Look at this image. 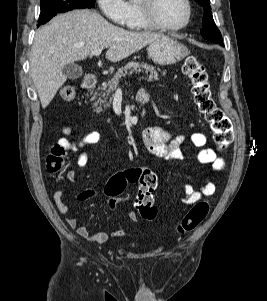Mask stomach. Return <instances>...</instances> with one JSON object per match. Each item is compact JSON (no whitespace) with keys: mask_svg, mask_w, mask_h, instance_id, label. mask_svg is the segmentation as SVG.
Returning a JSON list of instances; mask_svg holds the SVG:
<instances>
[{"mask_svg":"<svg viewBox=\"0 0 267 301\" xmlns=\"http://www.w3.org/2000/svg\"><path fill=\"white\" fill-rule=\"evenodd\" d=\"M148 56L158 65H171L183 60L189 51L175 38L162 37L149 44Z\"/></svg>","mask_w":267,"mask_h":301,"instance_id":"obj_1","label":"stomach"}]
</instances>
